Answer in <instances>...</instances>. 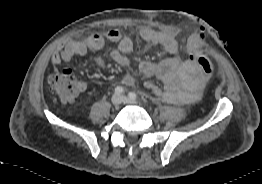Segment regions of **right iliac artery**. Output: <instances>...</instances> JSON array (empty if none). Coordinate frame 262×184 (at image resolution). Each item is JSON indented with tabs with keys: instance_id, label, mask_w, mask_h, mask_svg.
<instances>
[{
	"instance_id": "82829eb1",
	"label": "right iliac artery",
	"mask_w": 262,
	"mask_h": 184,
	"mask_svg": "<svg viewBox=\"0 0 262 184\" xmlns=\"http://www.w3.org/2000/svg\"><path fill=\"white\" fill-rule=\"evenodd\" d=\"M123 92H124V88H123V87L117 86V87L115 88V93H117V94H122Z\"/></svg>"
}]
</instances>
